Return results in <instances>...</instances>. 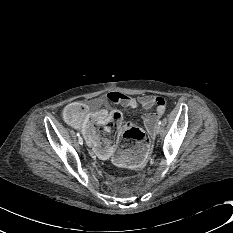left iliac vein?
<instances>
[{
    "label": "left iliac vein",
    "mask_w": 233,
    "mask_h": 233,
    "mask_svg": "<svg viewBox=\"0 0 233 233\" xmlns=\"http://www.w3.org/2000/svg\"><path fill=\"white\" fill-rule=\"evenodd\" d=\"M160 131H161V127L159 124H157L154 128V134L157 135L160 133Z\"/></svg>",
    "instance_id": "left-iliac-vein-1"
}]
</instances>
